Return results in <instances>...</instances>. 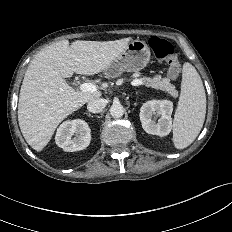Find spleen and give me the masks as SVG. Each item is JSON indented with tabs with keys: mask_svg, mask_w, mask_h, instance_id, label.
Returning <instances> with one entry per match:
<instances>
[{
	"mask_svg": "<svg viewBox=\"0 0 232 232\" xmlns=\"http://www.w3.org/2000/svg\"><path fill=\"white\" fill-rule=\"evenodd\" d=\"M206 114V95L195 67L185 62L181 94L173 121V142L177 149L188 147L198 136Z\"/></svg>",
	"mask_w": 232,
	"mask_h": 232,
	"instance_id": "1",
	"label": "spleen"
}]
</instances>
